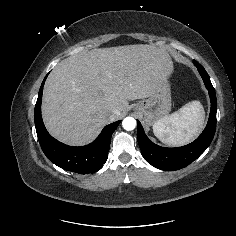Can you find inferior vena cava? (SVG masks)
<instances>
[{"mask_svg":"<svg viewBox=\"0 0 236 236\" xmlns=\"http://www.w3.org/2000/svg\"><path fill=\"white\" fill-rule=\"evenodd\" d=\"M117 111L116 110H113L112 113L115 114ZM112 116V115H111Z\"/></svg>","mask_w":236,"mask_h":236,"instance_id":"inferior-vena-cava-1","label":"inferior vena cava"}]
</instances>
